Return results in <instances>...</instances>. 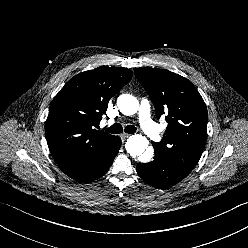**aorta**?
Returning <instances> with one entry per match:
<instances>
[{
  "label": "aorta",
  "instance_id": "obj_1",
  "mask_svg": "<svg viewBox=\"0 0 248 248\" xmlns=\"http://www.w3.org/2000/svg\"><path fill=\"white\" fill-rule=\"evenodd\" d=\"M120 111L127 116L135 114L139 109V101L129 94H122L117 99ZM149 142L142 135L135 134L127 139L125 144L127 152L132 157H138L140 162L146 163L153 157V149L148 148Z\"/></svg>",
  "mask_w": 248,
  "mask_h": 248
}]
</instances>
